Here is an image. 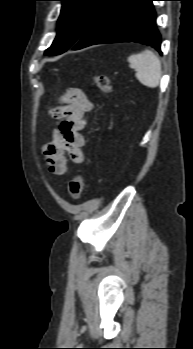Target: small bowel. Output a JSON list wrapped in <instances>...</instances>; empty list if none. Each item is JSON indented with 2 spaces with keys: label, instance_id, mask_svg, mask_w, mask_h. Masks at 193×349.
<instances>
[{
  "label": "small bowel",
  "instance_id": "c3829d8e",
  "mask_svg": "<svg viewBox=\"0 0 193 349\" xmlns=\"http://www.w3.org/2000/svg\"><path fill=\"white\" fill-rule=\"evenodd\" d=\"M64 102L53 112L60 122L53 127L51 141L43 148L47 168L55 175L68 172L67 159L76 164L85 161L83 148L86 140L81 131L86 127L87 116L93 108L88 97L76 88L67 91Z\"/></svg>",
  "mask_w": 193,
  "mask_h": 349
}]
</instances>
